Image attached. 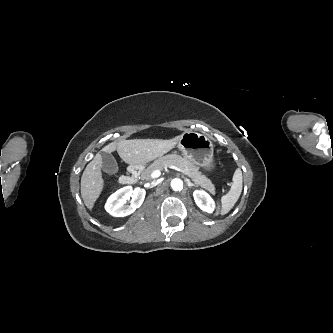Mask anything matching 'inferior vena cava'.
Returning a JSON list of instances; mask_svg holds the SVG:
<instances>
[{"mask_svg":"<svg viewBox=\"0 0 333 333\" xmlns=\"http://www.w3.org/2000/svg\"><path fill=\"white\" fill-rule=\"evenodd\" d=\"M157 185V182H153L150 187H153V186H156Z\"/></svg>","mask_w":333,"mask_h":333,"instance_id":"inferior-vena-cava-1","label":"inferior vena cava"}]
</instances>
